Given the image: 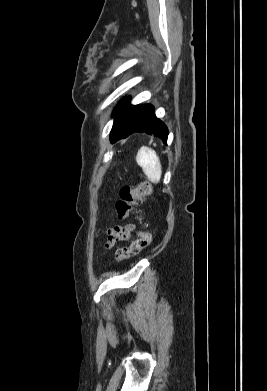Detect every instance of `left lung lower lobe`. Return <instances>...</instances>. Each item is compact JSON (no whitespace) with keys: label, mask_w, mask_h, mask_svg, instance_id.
Returning a JSON list of instances; mask_svg holds the SVG:
<instances>
[{"label":"left lung lower lobe","mask_w":267,"mask_h":391,"mask_svg":"<svg viewBox=\"0 0 267 391\" xmlns=\"http://www.w3.org/2000/svg\"><path fill=\"white\" fill-rule=\"evenodd\" d=\"M129 98L116 110L114 124L110 133V140L115 143L132 133L145 132L153 134L167 142L168 129L166 125L156 118L154 107L151 104L130 105Z\"/></svg>","instance_id":"0a47b994"}]
</instances>
